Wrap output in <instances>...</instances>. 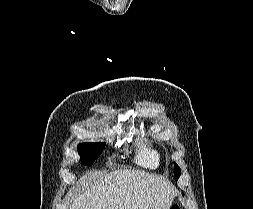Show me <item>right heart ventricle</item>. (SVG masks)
I'll list each match as a JSON object with an SVG mask.
<instances>
[{
    "instance_id": "e07e8e85",
    "label": "right heart ventricle",
    "mask_w": 253,
    "mask_h": 209,
    "mask_svg": "<svg viewBox=\"0 0 253 209\" xmlns=\"http://www.w3.org/2000/svg\"><path fill=\"white\" fill-rule=\"evenodd\" d=\"M137 162L147 168H156L161 161V154L154 142L147 139H139L137 142Z\"/></svg>"
}]
</instances>
